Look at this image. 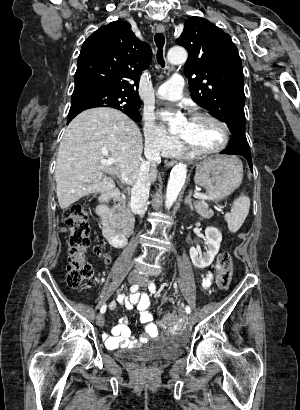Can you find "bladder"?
<instances>
[{"mask_svg": "<svg viewBox=\"0 0 300 410\" xmlns=\"http://www.w3.org/2000/svg\"><path fill=\"white\" fill-rule=\"evenodd\" d=\"M183 345L172 341H165L143 348L125 351V355L137 361H151L162 358L178 357L182 354Z\"/></svg>", "mask_w": 300, "mask_h": 410, "instance_id": "31cf9c89", "label": "bladder"}]
</instances>
